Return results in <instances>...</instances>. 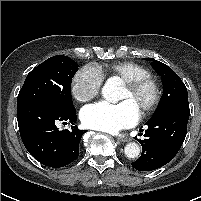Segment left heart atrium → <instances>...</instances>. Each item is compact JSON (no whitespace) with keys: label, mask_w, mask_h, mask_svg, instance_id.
<instances>
[{"label":"left heart atrium","mask_w":201,"mask_h":201,"mask_svg":"<svg viewBox=\"0 0 201 201\" xmlns=\"http://www.w3.org/2000/svg\"><path fill=\"white\" fill-rule=\"evenodd\" d=\"M81 121L90 129L107 133L118 131L135 125L139 119V111L129 101L117 104L98 102L81 110Z\"/></svg>","instance_id":"1"}]
</instances>
